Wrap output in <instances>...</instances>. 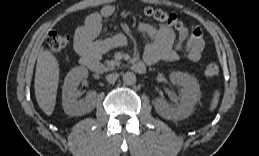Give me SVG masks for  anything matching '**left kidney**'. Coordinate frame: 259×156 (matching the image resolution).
Instances as JSON below:
<instances>
[{"instance_id":"obj_1","label":"left kidney","mask_w":259,"mask_h":156,"mask_svg":"<svg viewBox=\"0 0 259 156\" xmlns=\"http://www.w3.org/2000/svg\"><path fill=\"white\" fill-rule=\"evenodd\" d=\"M172 84L182 87L180 104L170 105L164 98H156L154 107L157 113L169 120H182L194 111V106L201 98L197 79L187 73L172 72L169 76Z\"/></svg>"}]
</instances>
